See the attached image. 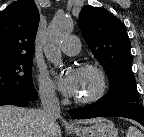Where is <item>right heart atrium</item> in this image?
Segmentation results:
<instances>
[{
  "mask_svg": "<svg viewBox=\"0 0 144 137\" xmlns=\"http://www.w3.org/2000/svg\"><path fill=\"white\" fill-rule=\"evenodd\" d=\"M38 93L46 104H55L58 101L55 84L48 71L44 68H37L36 72Z\"/></svg>",
  "mask_w": 144,
  "mask_h": 137,
  "instance_id": "d8ad5b80",
  "label": "right heart atrium"
}]
</instances>
